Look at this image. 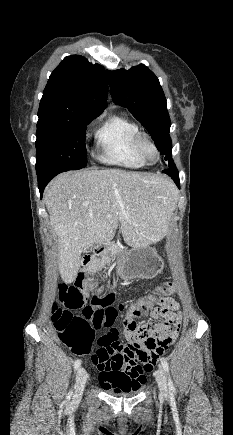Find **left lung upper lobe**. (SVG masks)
Returning a JSON list of instances; mask_svg holds the SVG:
<instances>
[{
    "label": "left lung upper lobe",
    "mask_w": 233,
    "mask_h": 435,
    "mask_svg": "<svg viewBox=\"0 0 233 435\" xmlns=\"http://www.w3.org/2000/svg\"><path fill=\"white\" fill-rule=\"evenodd\" d=\"M106 74L114 102L132 113L151 134L168 166L175 167L169 135L171 121L158 78L143 64L129 70H107Z\"/></svg>",
    "instance_id": "left-lung-upper-lobe-1"
}]
</instances>
